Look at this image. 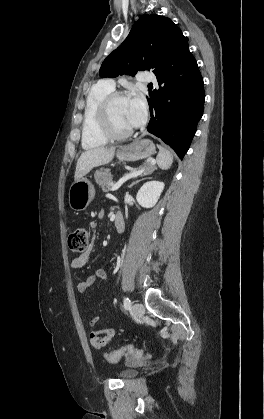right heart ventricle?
I'll return each instance as SVG.
<instances>
[{"instance_id": "obj_1", "label": "right heart ventricle", "mask_w": 264, "mask_h": 419, "mask_svg": "<svg viewBox=\"0 0 264 419\" xmlns=\"http://www.w3.org/2000/svg\"><path fill=\"white\" fill-rule=\"evenodd\" d=\"M112 91L113 89L103 82L95 84L87 94L81 136V144L84 149L101 147L109 140L100 129L98 107L102 99Z\"/></svg>"}]
</instances>
